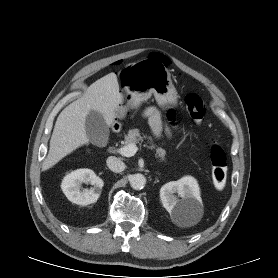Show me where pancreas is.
<instances>
[{
    "label": "pancreas",
    "instance_id": "pancreas-1",
    "mask_svg": "<svg viewBox=\"0 0 278 278\" xmlns=\"http://www.w3.org/2000/svg\"><path fill=\"white\" fill-rule=\"evenodd\" d=\"M144 139H149L152 141V138L149 136L141 135L139 129H132L128 131V134L125 136V145L129 144H137L139 142H142ZM152 148H154V145L152 144ZM166 152L161 147H158L156 149V157H159L161 161L165 160Z\"/></svg>",
    "mask_w": 278,
    "mask_h": 278
}]
</instances>
